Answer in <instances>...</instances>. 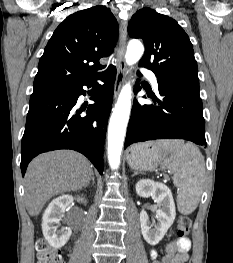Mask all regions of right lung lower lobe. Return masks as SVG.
Masks as SVG:
<instances>
[{
  "instance_id": "1",
  "label": "right lung lower lobe",
  "mask_w": 233,
  "mask_h": 263,
  "mask_svg": "<svg viewBox=\"0 0 233 263\" xmlns=\"http://www.w3.org/2000/svg\"><path fill=\"white\" fill-rule=\"evenodd\" d=\"M116 68L109 66L93 80L32 94L21 147V171L38 154L73 149L84 154L103 173V149L113 101ZM104 82L99 85L96 80ZM95 91V103L77 104L83 86ZM85 112L86 114H83Z\"/></svg>"
}]
</instances>
